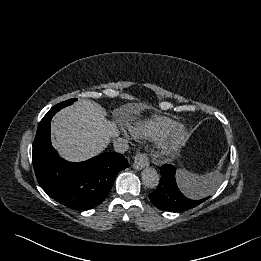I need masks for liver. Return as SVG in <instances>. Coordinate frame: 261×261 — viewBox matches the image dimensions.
<instances>
[{"label": "liver", "mask_w": 261, "mask_h": 261, "mask_svg": "<svg viewBox=\"0 0 261 261\" xmlns=\"http://www.w3.org/2000/svg\"><path fill=\"white\" fill-rule=\"evenodd\" d=\"M53 146L61 157L80 162L100 154L119 131L105 118L102 107L81 99L62 109L52 121Z\"/></svg>", "instance_id": "1"}]
</instances>
